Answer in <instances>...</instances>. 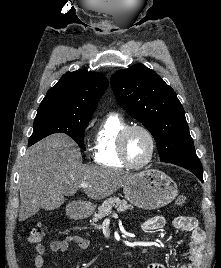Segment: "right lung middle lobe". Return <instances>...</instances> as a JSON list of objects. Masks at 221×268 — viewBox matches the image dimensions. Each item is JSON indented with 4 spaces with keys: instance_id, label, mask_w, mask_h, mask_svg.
Segmentation results:
<instances>
[{
    "instance_id": "right-lung-middle-lobe-1",
    "label": "right lung middle lobe",
    "mask_w": 221,
    "mask_h": 268,
    "mask_svg": "<svg viewBox=\"0 0 221 268\" xmlns=\"http://www.w3.org/2000/svg\"><path fill=\"white\" fill-rule=\"evenodd\" d=\"M91 118L59 111H38L34 120V131L28 142L33 145L53 133H64L85 149L84 130Z\"/></svg>"
}]
</instances>
